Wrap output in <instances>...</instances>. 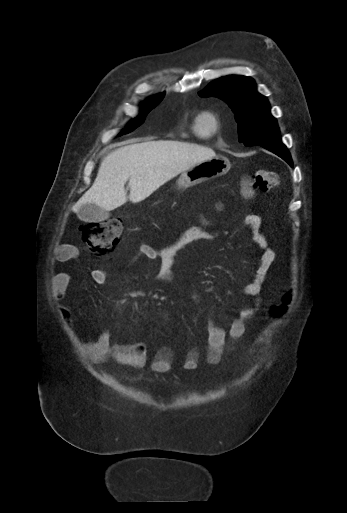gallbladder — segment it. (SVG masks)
I'll list each match as a JSON object with an SVG mask.
<instances>
[{
  "label": "gallbladder",
  "instance_id": "obj_1",
  "mask_svg": "<svg viewBox=\"0 0 347 513\" xmlns=\"http://www.w3.org/2000/svg\"><path fill=\"white\" fill-rule=\"evenodd\" d=\"M77 216L80 220L90 223L107 219L109 213L95 204H86L79 209Z\"/></svg>",
  "mask_w": 347,
  "mask_h": 513
}]
</instances>
